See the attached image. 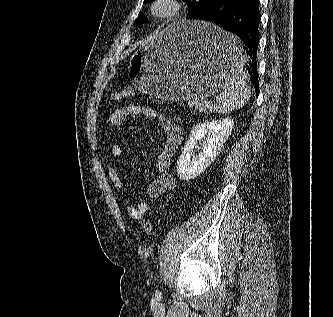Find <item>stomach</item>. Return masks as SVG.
<instances>
[{"label": "stomach", "instance_id": "1", "mask_svg": "<svg viewBox=\"0 0 333 317\" xmlns=\"http://www.w3.org/2000/svg\"><path fill=\"white\" fill-rule=\"evenodd\" d=\"M231 29L203 21L173 23L140 46L129 71L143 93L167 101L203 100L232 81L248 62Z\"/></svg>", "mask_w": 333, "mask_h": 317}]
</instances>
